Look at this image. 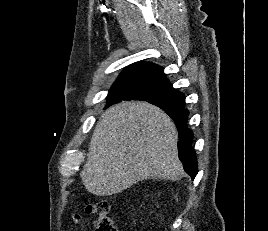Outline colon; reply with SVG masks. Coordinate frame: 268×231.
<instances>
[{
  "label": "colon",
  "instance_id": "colon-1",
  "mask_svg": "<svg viewBox=\"0 0 268 231\" xmlns=\"http://www.w3.org/2000/svg\"><path fill=\"white\" fill-rule=\"evenodd\" d=\"M92 211L95 214V231H117V227L110 215L109 204L105 200L97 202Z\"/></svg>",
  "mask_w": 268,
  "mask_h": 231
}]
</instances>
